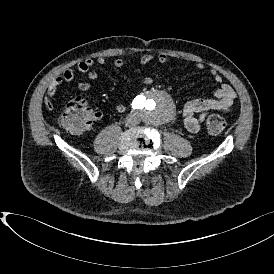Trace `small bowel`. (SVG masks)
<instances>
[{"label":"small bowel","mask_w":274,"mask_h":274,"mask_svg":"<svg viewBox=\"0 0 274 274\" xmlns=\"http://www.w3.org/2000/svg\"><path fill=\"white\" fill-rule=\"evenodd\" d=\"M164 64L168 61V55L165 53H160L157 56L153 54H145L140 58L141 65L145 66L150 64L152 61ZM107 61L104 57H98L96 60L86 59L79 62L73 68L67 69L61 75L55 77L49 84L48 93L43 97L42 108L45 112L50 113L55 108V103L52 101L55 96L58 87L63 84L72 81L77 74H85L90 81H96L99 74L93 69L94 65L104 66ZM125 62L122 58H116L113 61V66L117 69L122 68ZM195 67L199 71L205 70V65L202 63H196ZM210 77L212 81L218 85L215 90L213 97L205 99H195L184 104L181 110V118L184 127L192 133H197L203 122L205 121L207 115L210 112H229L232 109L234 100L236 98V93L234 89L228 84L224 83L223 77L215 69L209 70ZM154 79L152 77H145L142 79L143 85H152ZM78 87L82 91H88L92 88L90 82L81 81L78 83ZM84 105L89 104L84 101ZM89 109V108H88ZM126 109L125 105L117 104L116 111L124 112ZM103 119V113L99 110H91L85 114V121L80 127L75 128L72 132L76 134H81L89 130L94 124L99 123Z\"/></svg>","instance_id":"obj_1"}]
</instances>
